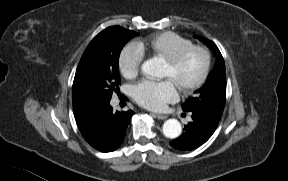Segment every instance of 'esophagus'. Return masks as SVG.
Masks as SVG:
<instances>
[{
    "label": "esophagus",
    "instance_id": "obj_1",
    "mask_svg": "<svg viewBox=\"0 0 288 181\" xmlns=\"http://www.w3.org/2000/svg\"><path fill=\"white\" fill-rule=\"evenodd\" d=\"M153 115H155L160 120H164V119H166L168 117L167 115L157 114V113H153Z\"/></svg>",
    "mask_w": 288,
    "mask_h": 181
}]
</instances>
